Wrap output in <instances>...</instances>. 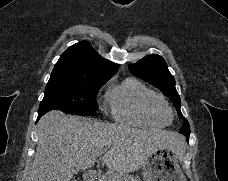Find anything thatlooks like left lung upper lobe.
<instances>
[{"mask_svg":"<svg viewBox=\"0 0 228 181\" xmlns=\"http://www.w3.org/2000/svg\"><path fill=\"white\" fill-rule=\"evenodd\" d=\"M129 70L134 76L159 88L163 94L172 100L178 115L184 120L179 133L186 137L189 136L190 126L180 111L181 101L175 88V79L169 72L164 59L159 55L152 54L135 64L129 65Z\"/></svg>","mask_w":228,"mask_h":181,"instance_id":"left-lung-upper-lobe-1","label":"left lung upper lobe"}]
</instances>
